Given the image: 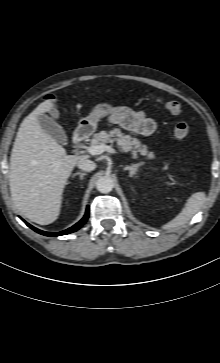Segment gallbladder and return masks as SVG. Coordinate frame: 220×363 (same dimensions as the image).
I'll list each match as a JSON object with an SVG mask.
<instances>
[{"label": "gallbladder", "mask_w": 220, "mask_h": 363, "mask_svg": "<svg viewBox=\"0 0 220 363\" xmlns=\"http://www.w3.org/2000/svg\"><path fill=\"white\" fill-rule=\"evenodd\" d=\"M38 121L42 129L52 138L63 145L67 144V135L64 129L56 121L47 115H39Z\"/></svg>", "instance_id": "1"}]
</instances>
